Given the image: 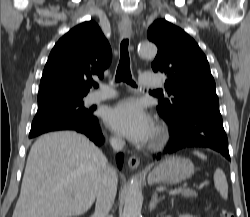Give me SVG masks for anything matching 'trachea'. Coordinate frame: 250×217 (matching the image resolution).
Returning <instances> with one entry per match:
<instances>
[{"mask_svg":"<svg viewBox=\"0 0 250 217\" xmlns=\"http://www.w3.org/2000/svg\"><path fill=\"white\" fill-rule=\"evenodd\" d=\"M128 40L125 39L121 42L120 46V60L119 65L117 67L116 82H126L131 86H136L135 82L132 80L131 72H130V57L128 52ZM93 86L95 88L98 87L97 83H94Z\"/></svg>","mask_w":250,"mask_h":217,"instance_id":"3493384b","label":"trachea"}]
</instances>
